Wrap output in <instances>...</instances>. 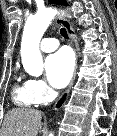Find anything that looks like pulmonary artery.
<instances>
[{
    "mask_svg": "<svg viewBox=\"0 0 117 136\" xmlns=\"http://www.w3.org/2000/svg\"><path fill=\"white\" fill-rule=\"evenodd\" d=\"M58 46H59L58 39L53 37L44 38L40 43V49L43 52L54 51Z\"/></svg>",
    "mask_w": 117,
    "mask_h": 136,
    "instance_id": "e3ab8cb5",
    "label": "pulmonary artery"
}]
</instances>
